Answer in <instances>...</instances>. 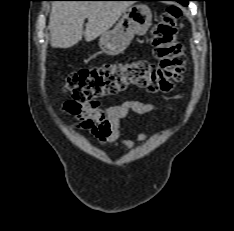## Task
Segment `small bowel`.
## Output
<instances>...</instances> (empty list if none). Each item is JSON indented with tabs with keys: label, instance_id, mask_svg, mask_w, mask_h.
Wrapping results in <instances>:
<instances>
[{
	"label": "small bowel",
	"instance_id": "1",
	"mask_svg": "<svg viewBox=\"0 0 234 231\" xmlns=\"http://www.w3.org/2000/svg\"><path fill=\"white\" fill-rule=\"evenodd\" d=\"M158 105L138 100H127L119 105L101 107L98 101L86 103L76 114L75 121L70 124V128L89 132L101 146L118 144L130 150L134 143L130 140L119 138L120 121L129 116L130 113L139 115L155 112ZM148 138L147 134H140L139 141Z\"/></svg>",
	"mask_w": 234,
	"mask_h": 231
}]
</instances>
